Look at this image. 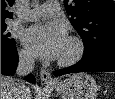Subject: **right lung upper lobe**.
I'll list each match as a JSON object with an SVG mask.
<instances>
[{
    "instance_id": "1",
    "label": "right lung upper lobe",
    "mask_w": 115,
    "mask_h": 99,
    "mask_svg": "<svg viewBox=\"0 0 115 99\" xmlns=\"http://www.w3.org/2000/svg\"><path fill=\"white\" fill-rule=\"evenodd\" d=\"M15 0H1V23H5L6 18H12L13 13L8 9L12 7Z\"/></svg>"
}]
</instances>
